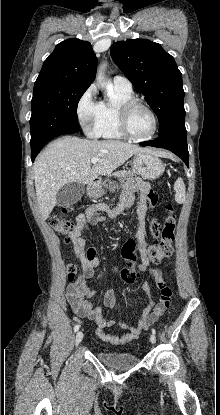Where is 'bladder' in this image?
Listing matches in <instances>:
<instances>
[{"mask_svg": "<svg viewBox=\"0 0 220 415\" xmlns=\"http://www.w3.org/2000/svg\"><path fill=\"white\" fill-rule=\"evenodd\" d=\"M97 358L110 366L129 369L136 366L139 362L138 357L133 353L114 352V351H98Z\"/></svg>", "mask_w": 220, "mask_h": 415, "instance_id": "31cf9c89", "label": "bladder"}]
</instances>
